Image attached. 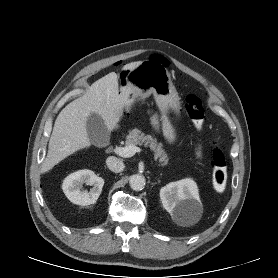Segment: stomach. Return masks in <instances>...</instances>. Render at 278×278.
I'll return each mask as SVG.
<instances>
[{"instance_id": "1", "label": "stomach", "mask_w": 278, "mask_h": 278, "mask_svg": "<svg viewBox=\"0 0 278 278\" xmlns=\"http://www.w3.org/2000/svg\"><path fill=\"white\" fill-rule=\"evenodd\" d=\"M124 73L125 81L140 90L136 98L145 99L153 94L161 114L164 138L170 143L175 141L176 131L167 114L169 110L178 111L179 98L167 68L159 61L144 60Z\"/></svg>"}]
</instances>
